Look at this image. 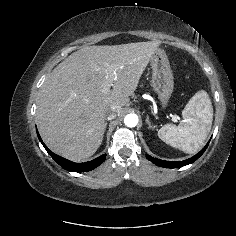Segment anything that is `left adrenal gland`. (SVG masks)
<instances>
[{
	"instance_id": "obj_1",
	"label": "left adrenal gland",
	"mask_w": 236,
	"mask_h": 236,
	"mask_svg": "<svg viewBox=\"0 0 236 236\" xmlns=\"http://www.w3.org/2000/svg\"><path fill=\"white\" fill-rule=\"evenodd\" d=\"M146 123L148 125V129L154 130L156 126L151 125V122L149 121V116L147 115Z\"/></svg>"
}]
</instances>
